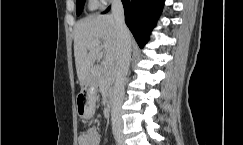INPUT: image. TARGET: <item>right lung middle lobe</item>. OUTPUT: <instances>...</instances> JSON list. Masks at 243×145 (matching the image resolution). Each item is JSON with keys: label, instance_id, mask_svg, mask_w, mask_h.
<instances>
[{"label": "right lung middle lobe", "instance_id": "1", "mask_svg": "<svg viewBox=\"0 0 243 145\" xmlns=\"http://www.w3.org/2000/svg\"><path fill=\"white\" fill-rule=\"evenodd\" d=\"M85 0H76V13L80 15L83 7H84Z\"/></svg>", "mask_w": 243, "mask_h": 145}]
</instances>
